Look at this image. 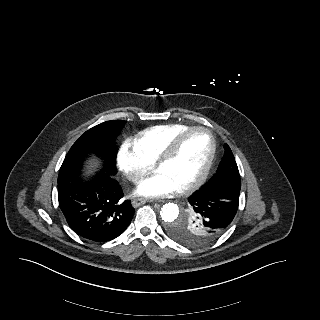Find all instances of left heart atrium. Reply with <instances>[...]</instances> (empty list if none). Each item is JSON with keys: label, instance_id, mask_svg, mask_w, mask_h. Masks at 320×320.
Returning a JSON list of instances; mask_svg holds the SVG:
<instances>
[{"label": "left heart atrium", "instance_id": "39dd6f15", "mask_svg": "<svg viewBox=\"0 0 320 320\" xmlns=\"http://www.w3.org/2000/svg\"><path fill=\"white\" fill-rule=\"evenodd\" d=\"M178 190L176 183L161 171H156L139 183L136 193L148 198H158L169 196Z\"/></svg>", "mask_w": 320, "mask_h": 320}]
</instances>
